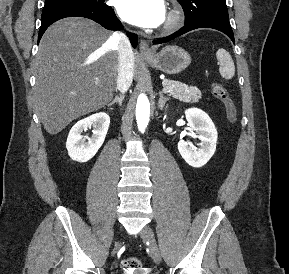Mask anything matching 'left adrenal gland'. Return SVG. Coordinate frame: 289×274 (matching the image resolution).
Instances as JSON below:
<instances>
[{
    "label": "left adrenal gland",
    "instance_id": "left-adrenal-gland-1",
    "mask_svg": "<svg viewBox=\"0 0 289 274\" xmlns=\"http://www.w3.org/2000/svg\"><path fill=\"white\" fill-rule=\"evenodd\" d=\"M169 101L168 97H165L162 92L159 93L158 107L160 110H163L166 102Z\"/></svg>",
    "mask_w": 289,
    "mask_h": 274
}]
</instances>
